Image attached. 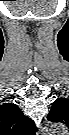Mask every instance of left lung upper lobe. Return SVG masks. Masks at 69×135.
Wrapping results in <instances>:
<instances>
[{"instance_id": "5c2ea615", "label": "left lung upper lobe", "mask_w": 69, "mask_h": 135, "mask_svg": "<svg viewBox=\"0 0 69 135\" xmlns=\"http://www.w3.org/2000/svg\"><path fill=\"white\" fill-rule=\"evenodd\" d=\"M69 117V100L65 98L57 99L48 114V120L51 122H67Z\"/></svg>"}]
</instances>
